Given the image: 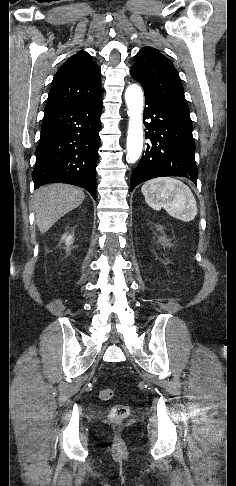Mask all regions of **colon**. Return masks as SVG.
<instances>
[{"instance_id":"obj_1","label":"colon","mask_w":236,"mask_h":486,"mask_svg":"<svg viewBox=\"0 0 236 486\" xmlns=\"http://www.w3.org/2000/svg\"><path fill=\"white\" fill-rule=\"evenodd\" d=\"M114 395L112 389H104L100 392V399L103 401L110 400ZM130 414V407L125 404L114 406L110 411V419L114 422H121L125 420Z\"/></svg>"}]
</instances>
